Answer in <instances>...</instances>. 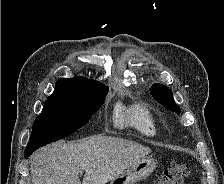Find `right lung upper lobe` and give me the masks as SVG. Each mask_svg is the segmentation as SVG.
<instances>
[{"label": "right lung upper lobe", "instance_id": "1", "mask_svg": "<svg viewBox=\"0 0 224 184\" xmlns=\"http://www.w3.org/2000/svg\"><path fill=\"white\" fill-rule=\"evenodd\" d=\"M100 82L84 77L61 78L55 84V90L50 99H74L91 96L107 90Z\"/></svg>", "mask_w": 224, "mask_h": 184}]
</instances>
